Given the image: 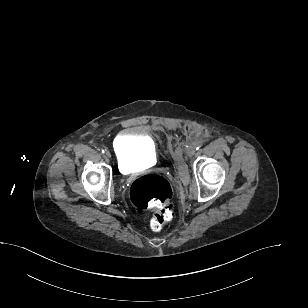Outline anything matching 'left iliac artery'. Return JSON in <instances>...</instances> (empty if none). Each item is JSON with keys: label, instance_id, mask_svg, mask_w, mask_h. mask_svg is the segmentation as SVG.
<instances>
[{"label": "left iliac artery", "instance_id": "left-iliac-artery-1", "mask_svg": "<svg viewBox=\"0 0 308 308\" xmlns=\"http://www.w3.org/2000/svg\"><path fill=\"white\" fill-rule=\"evenodd\" d=\"M201 147L200 144H196V150H198Z\"/></svg>", "mask_w": 308, "mask_h": 308}]
</instances>
